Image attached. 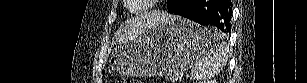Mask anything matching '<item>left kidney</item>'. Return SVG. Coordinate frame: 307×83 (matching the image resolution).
I'll list each match as a JSON object with an SVG mask.
<instances>
[{"instance_id": "1", "label": "left kidney", "mask_w": 307, "mask_h": 83, "mask_svg": "<svg viewBox=\"0 0 307 83\" xmlns=\"http://www.w3.org/2000/svg\"><path fill=\"white\" fill-rule=\"evenodd\" d=\"M201 83H216V81L215 80H210V81H203Z\"/></svg>"}]
</instances>
